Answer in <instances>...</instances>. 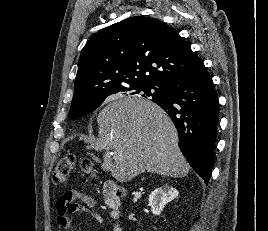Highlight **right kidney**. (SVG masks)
<instances>
[{"label":"right kidney","mask_w":268,"mask_h":231,"mask_svg":"<svg viewBox=\"0 0 268 231\" xmlns=\"http://www.w3.org/2000/svg\"><path fill=\"white\" fill-rule=\"evenodd\" d=\"M176 188L167 184L156 188L149 195V205L154 215H160L165 205L178 196Z\"/></svg>","instance_id":"ca27d5eb"}]
</instances>
